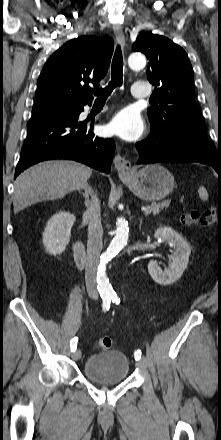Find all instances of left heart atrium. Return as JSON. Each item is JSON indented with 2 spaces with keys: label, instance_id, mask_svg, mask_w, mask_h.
I'll list each match as a JSON object with an SVG mask.
<instances>
[{
  "label": "left heart atrium",
  "instance_id": "left-heart-atrium-1",
  "mask_svg": "<svg viewBox=\"0 0 221 440\" xmlns=\"http://www.w3.org/2000/svg\"><path fill=\"white\" fill-rule=\"evenodd\" d=\"M109 132L125 140H136L143 132L144 124L140 115L131 108L118 112L108 125Z\"/></svg>",
  "mask_w": 221,
  "mask_h": 440
}]
</instances>
